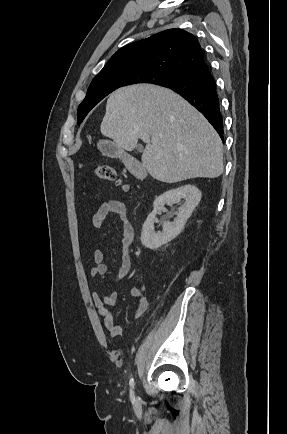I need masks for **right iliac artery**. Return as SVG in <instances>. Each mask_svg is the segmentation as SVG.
Segmentation results:
<instances>
[{
    "label": "right iliac artery",
    "instance_id": "obj_1",
    "mask_svg": "<svg viewBox=\"0 0 287 434\" xmlns=\"http://www.w3.org/2000/svg\"><path fill=\"white\" fill-rule=\"evenodd\" d=\"M129 385L131 387L130 396L133 398L134 397V392H133V389H134V379L133 378L130 379Z\"/></svg>",
    "mask_w": 287,
    "mask_h": 434
}]
</instances>
